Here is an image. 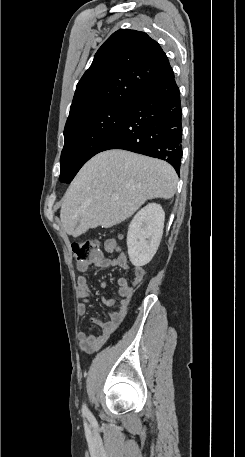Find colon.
<instances>
[{
	"label": "colon",
	"mask_w": 245,
	"mask_h": 457,
	"mask_svg": "<svg viewBox=\"0 0 245 457\" xmlns=\"http://www.w3.org/2000/svg\"><path fill=\"white\" fill-rule=\"evenodd\" d=\"M99 243L95 239L82 240L72 244L73 257L77 262L88 261L100 253Z\"/></svg>",
	"instance_id": "obj_1"
}]
</instances>
